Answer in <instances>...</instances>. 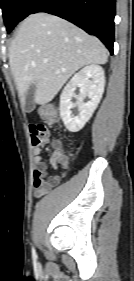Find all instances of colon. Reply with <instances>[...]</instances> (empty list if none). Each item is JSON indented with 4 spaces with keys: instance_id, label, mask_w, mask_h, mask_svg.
<instances>
[{
    "instance_id": "obj_1",
    "label": "colon",
    "mask_w": 134,
    "mask_h": 281,
    "mask_svg": "<svg viewBox=\"0 0 134 281\" xmlns=\"http://www.w3.org/2000/svg\"><path fill=\"white\" fill-rule=\"evenodd\" d=\"M41 115L50 124H53L57 121V112L52 106L46 105L42 107ZM53 153L57 154L60 163H64L66 161L64 153L58 144H55V150Z\"/></svg>"
}]
</instances>
